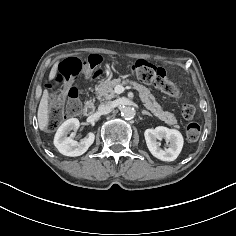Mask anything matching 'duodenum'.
<instances>
[{
	"instance_id": "duodenum-1",
	"label": "duodenum",
	"mask_w": 236,
	"mask_h": 236,
	"mask_svg": "<svg viewBox=\"0 0 236 236\" xmlns=\"http://www.w3.org/2000/svg\"><path fill=\"white\" fill-rule=\"evenodd\" d=\"M93 110H94L93 104H92V103H88V104L85 106V115H86V116L92 115Z\"/></svg>"
}]
</instances>
